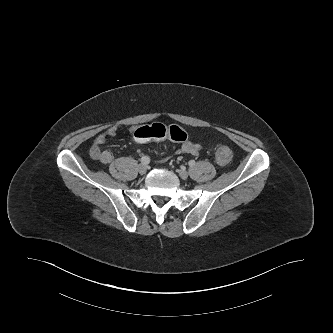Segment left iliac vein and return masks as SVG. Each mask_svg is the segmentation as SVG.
Listing matches in <instances>:
<instances>
[{
  "instance_id": "4c4485c4",
  "label": "left iliac vein",
  "mask_w": 333,
  "mask_h": 333,
  "mask_svg": "<svg viewBox=\"0 0 333 333\" xmlns=\"http://www.w3.org/2000/svg\"><path fill=\"white\" fill-rule=\"evenodd\" d=\"M188 172L186 171V170H179V176H180V178H182V179H187L188 178Z\"/></svg>"
}]
</instances>
